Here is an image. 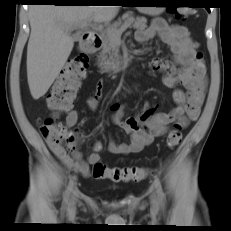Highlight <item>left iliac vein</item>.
I'll use <instances>...</instances> for the list:
<instances>
[{"label": "left iliac vein", "mask_w": 231, "mask_h": 231, "mask_svg": "<svg viewBox=\"0 0 231 231\" xmlns=\"http://www.w3.org/2000/svg\"><path fill=\"white\" fill-rule=\"evenodd\" d=\"M151 202L154 206H157L158 205V201H157V198L155 196V194H152L151 196Z\"/></svg>", "instance_id": "4c4485c4"}]
</instances>
